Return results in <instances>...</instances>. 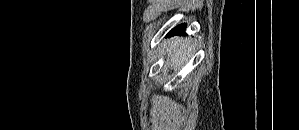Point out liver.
<instances>
[{
	"label": "liver",
	"instance_id": "1",
	"mask_svg": "<svg viewBox=\"0 0 299 130\" xmlns=\"http://www.w3.org/2000/svg\"><path fill=\"white\" fill-rule=\"evenodd\" d=\"M193 46V41L190 39L181 40L179 38H174L168 41V63L171 68H176L184 61H187L191 56Z\"/></svg>",
	"mask_w": 299,
	"mask_h": 130
}]
</instances>
